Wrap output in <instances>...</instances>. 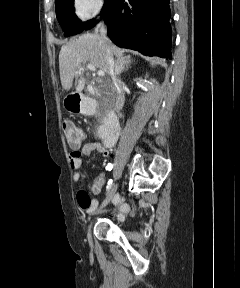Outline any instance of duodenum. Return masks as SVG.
I'll use <instances>...</instances> for the list:
<instances>
[{
    "label": "duodenum",
    "mask_w": 240,
    "mask_h": 288,
    "mask_svg": "<svg viewBox=\"0 0 240 288\" xmlns=\"http://www.w3.org/2000/svg\"><path fill=\"white\" fill-rule=\"evenodd\" d=\"M77 106V112L91 114L96 111L97 103L94 99L76 95L73 97ZM120 127L116 115L112 111L104 114V125L102 128V143L108 147L113 146L119 137Z\"/></svg>",
    "instance_id": "410a0bca"
}]
</instances>
